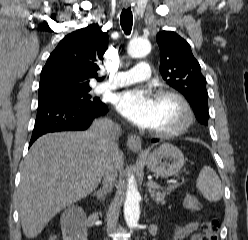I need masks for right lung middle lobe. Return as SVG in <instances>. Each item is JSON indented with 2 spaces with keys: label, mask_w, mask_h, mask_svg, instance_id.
Wrapping results in <instances>:
<instances>
[{
  "label": "right lung middle lobe",
  "mask_w": 248,
  "mask_h": 240,
  "mask_svg": "<svg viewBox=\"0 0 248 240\" xmlns=\"http://www.w3.org/2000/svg\"><path fill=\"white\" fill-rule=\"evenodd\" d=\"M90 91V90H89ZM89 91L81 92L78 94L39 98L38 104L42 103H68L78 106H94L99 104L98 101H90L91 96L88 94Z\"/></svg>",
  "instance_id": "right-lung-middle-lobe-1"
}]
</instances>
